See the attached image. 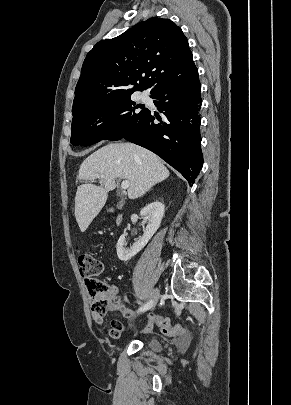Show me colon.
Returning a JSON list of instances; mask_svg holds the SVG:
<instances>
[{
    "label": "colon",
    "instance_id": "colon-1",
    "mask_svg": "<svg viewBox=\"0 0 291 405\" xmlns=\"http://www.w3.org/2000/svg\"><path fill=\"white\" fill-rule=\"evenodd\" d=\"M78 265L91 301L92 314L103 316L110 307L108 298L110 286L99 278L103 273V263L89 253H83L78 257ZM149 317L164 335L175 338L186 337L184 328L172 325L167 317L157 313L150 314Z\"/></svg>",
    "mask_w": 291,
    "mask_h": 405
}]
</instances>
